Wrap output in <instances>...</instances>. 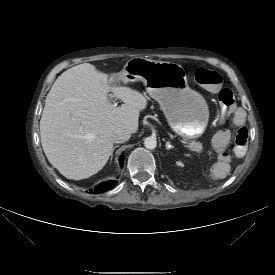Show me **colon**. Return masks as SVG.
I'll return each instance as SVG.
<instances>
[{
	"label": "colon",
	"mask_w": 275,
	"mask_h": 275,
	"mask_svg": "<svg viewBox=\"0 0 275 275\" xmlns=\"http://www.w3.org/2000/svg\"><path fill=\"white\" fill-rule=\"evenodd\" d=\"M196 81L210 91H216L222 84V77L214 71L198 68L195 72ZM220 110L218 120L222 121L232 111L234 107V96L230 89L222 88L218 92ZM248 142V132L246 128L238 129L235 133V152L238 155L244 154Z\"/></svg>",
	"instance_id": "colon-1"
}]
</instances>
